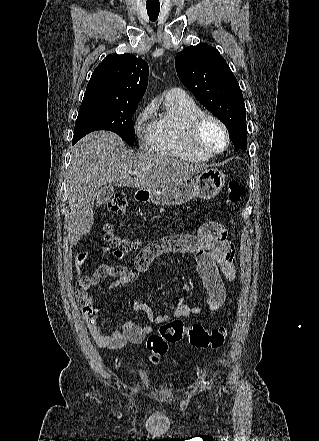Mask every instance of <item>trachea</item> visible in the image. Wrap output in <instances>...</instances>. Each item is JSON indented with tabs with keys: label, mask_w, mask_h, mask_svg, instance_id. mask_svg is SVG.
Here are the masks:
<instances>
[{
	"label": "trachea",
	"mask_w": 319,
	"mask_h": 441,
	"mask_svg": "<svg viewBox=\"0 0 319 441\" xmlns=\"http://www.w3.org/2000/svg\"><path fill=\"white\" fill-rule=\"evenodd\" d=\"M150 21L155 22L159 16L160 5L146 6Z\"/></svg>",
	"instance_id": "1"
}]
</instances>
